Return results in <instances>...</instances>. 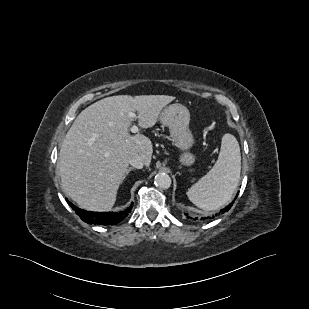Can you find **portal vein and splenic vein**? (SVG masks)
Instances as JSON below:
<instances>
[{"mask_svg": "<svg viewBox=\"0 0 309 309\" xmlns=\"http://www.w3.org/2000/svg\"><path fill=\"white\" fill-rule=\"evenodd\" d=\"M129 117L135 118V117H136V114L133 113V112H130V113H129ZM130 130H131V132L136 133V132H138V127L134 125V126H132V128H131Z\"/></svg>", "mask_w": 309, "mask_h": 309, "instance_id": "portal-vein-and-splenic-vein-1", "label": "portal vein and splenic vein"}]
</instances>
